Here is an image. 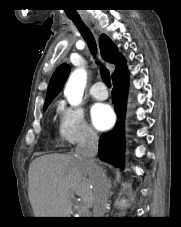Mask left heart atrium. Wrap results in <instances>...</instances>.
Masks as SVG:
<instances>
[{
	"instance_id": "39dd6f15",
	"label": "left heart atrium",
	"mask_w": 181,
	"mask_h": 227,
	"mask_svg": "<svg viewBox=\"0 0 181 227\" xmlns=\"http://www.w3.org/2000/svg\"><path fill=\"white\" fill-rule=\"evenodd\" d=\"M91 120L97 129L105 130L112 126L114 122V113L107 104H95L91 108Z\"/></svg>"
}]
</instances>
